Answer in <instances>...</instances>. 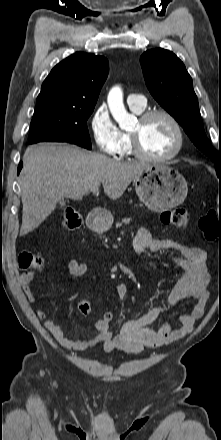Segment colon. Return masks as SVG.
Listing matches in <instances>:
<instances>
[{
  "mask_svg": "<svg viewBox=\"0 0 221 440\" xmlns=\"http://www.w3.org/2000/svg\"><path fill=\"white\" fill-rule=\"evenodd\" d=\"M190 214L186 208L176 207L172 209L165 210L161 213V221L169 226H174L177 228H184L189 222ZM64 227L67 230H76L82 225L81 215L73 210L67 209L64 212ZM199 228L204 233L207 240L213 241L219 236V221L211 214H207L199 220ZM42 260L31 253L30 251H23L19 255V267L23 270L30 269L32 267L40 266ZM78 311L82 315H87L91 311V303L87 299H83L78 303ZM112 312H103V321L113 320Z\"/></svg>",
  "mask_w": 221,
  "mask_h": 440,
  "instance_id": "obj_1",
  "label": "colon"
}]
</instances>
